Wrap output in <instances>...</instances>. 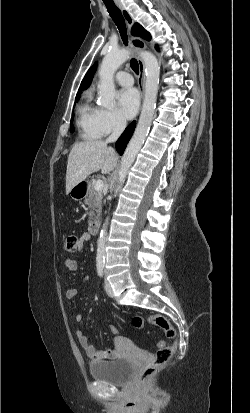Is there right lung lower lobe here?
<instances>
[{
    "label": "right lung lower lobe",
    "mask_w": 250,
    "mask_h": 413,
    "mask_svg": "<svg viewBox=\"0 0 250 413\" xmlns=\"http://www.w3.org/2000/svg\"><path fill=\"white\" fill-rule=\"evenodd\" d=\"M136 126V122L133 121L126 129L125 131L122 133V135L120 136V138L118 139V141L116 142L115 146H116V150L122 155L126 145L128 144L134 129Z\"/></svg>",
    "instance_id": "1"
}]
</instances>
